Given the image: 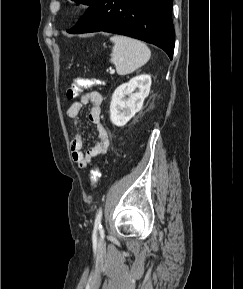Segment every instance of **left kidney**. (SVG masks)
I'll return each instance as SVG.
<instances>
[{
	"label": "left kidney",
	"instance_id": "5707ae66",
	"mask_svg": "<svg viewBox=\"0 0 243 289\" xmlns=\"http://www.w3.org/2000/svg\"><path fill=\"white\" fill-rule=\"evenodd\" d=\"M151 77L139 75L116 88L110 104V120L116 126H124L141 110L149 95ZM138 89V91H136ZM125 96H128L126 99Z\"/></svg>",
	"mask_w": 243,
	"mask_h": 289
}]
</instances>
